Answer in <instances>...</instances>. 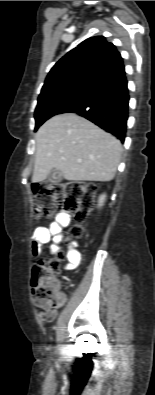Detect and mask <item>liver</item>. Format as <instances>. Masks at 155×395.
Wrapping results in <instances>:
<instances>
[{"label": "liver", "instance_id": "6515ba94", "mask_svg": "<svg viewBox=\"0 0 155 395\" xmlns=\"http://www.w3.org/2000/svg\"><path fill=\"white\" fill-rule=\"evenodd\" d=\"M35 141L32 182L45 180L52 169L59 170L66 180L111 181L122 153L119 140L74 113L47 120Z\"/></svg>", "mask_w": 155, "mask_h": 395}]
</instances>
